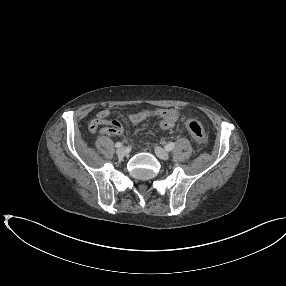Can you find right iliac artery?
I'll list each match as a JSON object with an SVG mask.
<instances>
[{
	"label": "right iliac artery",
	"instance_id": "right-iliac-artery-1",
	"mask_svg": "<svg viewBox=\"0 0 286 286\" xmlns=\"http://www.w3.org/2000/svg\"><path fill=\"white\" fill-rule=\"evenodd\" d=\"M122 146V143L121 142H117L116 144H115V147L116 148H119V147H121Z\"/></svg>",
	"mask_w": 286,
	"mask_h": 286
}]
</instances>
